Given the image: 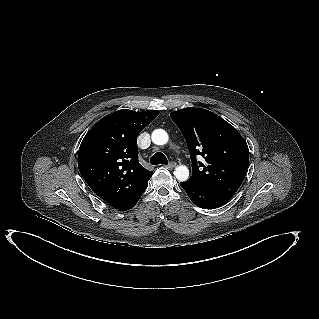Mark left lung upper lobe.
I'll return each instance as SVG.
<instances>
[{
    "mask_svg": "<svg viewBox=\"0 0 319 319\" xmlns=\"http://www.w3.org/2000/svg\"><path fill=\"white\" fill-rule=\"evenodd\" d=\"M184 135L192 160L188 181L232 197L242 184L249 164V149L240 133L215 113L184 108L170 114ZM201 155L206 162L197 161Z\"/></svg>",
    "mask_w": 319,
    "mask_h": 319,
    "instance_id": "5c2ea615",
    "label": "left lung upper lobe"
}]
</instances>
